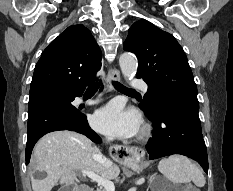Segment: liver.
I'll return each mask as SVG.
<instances>
[{
    "label": "liver",
    "instance_id": "obj_1",
    "mask_svg": "<svg viewBox=\"0 0 233 191\" xmlns=\"http://www.w3.org/2000/svg\"><path fill=\"white\" fill-rule=\"evenodd\" d=\"M103 156L86 136L68 131H54L43 136L35 145L33 164L36 171H45V179H31L33 191H51L58 183L73 185L76 172L92 171L102 178L118 177L120 169L116 164L105 167Z\"/></svg>",
    "mask_w": 233,
    "mask_h": 191
}]
</instances>
